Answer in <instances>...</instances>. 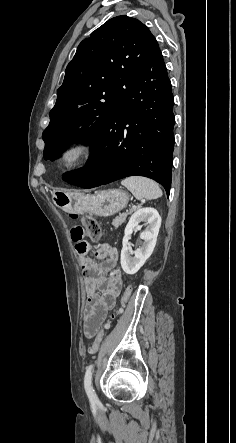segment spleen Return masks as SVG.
<instances>
[{
    "instance_id": "1",
    "label": "spleen",
    "mask_w": 236,
    "mask_h": 443,
    "mask_svg": "<svg viewBox=\"0 0 236 443\" xmlns=\"http://www.w3.org/2000/svg\"><path fill=\"white\" fill-rule=\"evenodd\" d=\"M136 199L153 200L162 196V190L156 182L141 176H131L121 181Z\"/></svg>"
}]
</instances>
